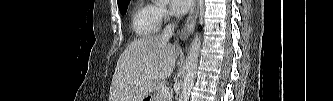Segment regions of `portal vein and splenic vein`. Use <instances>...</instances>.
Here are the masks:
<instances>
[{
  "instance_id": "portal-vein-and-splenic-vein-1",
  "label": "portal vein and splenic vein",
  "mask_w": 333,
  "mask_h": 101,
  "mask_svg": "<svg viewBox=\"0 0 333 101\" xmlns=\"http://www.w3.org/2000/svg\"><path fill=\"white\" fill-rule=\"evenodd\" d=\"M160 95L162 97H167L170 95V91H169V88L168 87H162L161 90H160Z\"/></svg>"
}]
</instances>
